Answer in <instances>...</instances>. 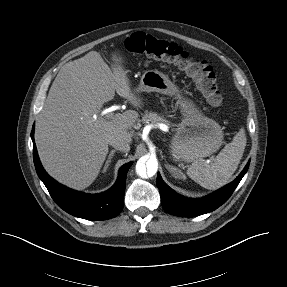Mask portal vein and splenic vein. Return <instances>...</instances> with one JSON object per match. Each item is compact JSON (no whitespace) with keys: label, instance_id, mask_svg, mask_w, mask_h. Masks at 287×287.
I'll return each instance as SVG.
<instances>
[{"label":"portal vein and splenic vein","instance_id":"18ae733b","mask_svg":"<svg viewBox=\"0 0 287 287\" xmlns=\"http://www.w3.org/2000/svg\"><path fill=\"white\" fill-rule=\"evenodd\" d=\"M113 111H114V109L112 107L107 108V109L102 111V115H105V117L107 119H112L114 117Z\"/></svg>","mask_w":287,"mask_h":287}]
</instances>
